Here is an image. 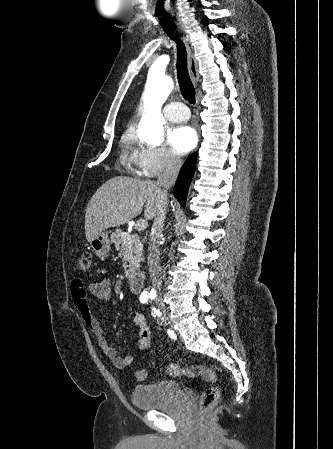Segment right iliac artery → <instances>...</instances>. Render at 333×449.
I'll return each mask as SVG.
<instances>
[{"label": "right iliac artery", "instance_id": "obj_1", "mask_svg": "<svg viewBox=\"0 0 333 449\" xmlns=\"http://www.w3.org/2000/svg\"><path fill=\"white\" fill-rule=\"evenodd\" d=\"M147 300H148L147 296H146V297H143V296L140 297V302H141V303H146Z\"/></svg>", "mask_w": 333, "mask_h": 449}]
</instances>
